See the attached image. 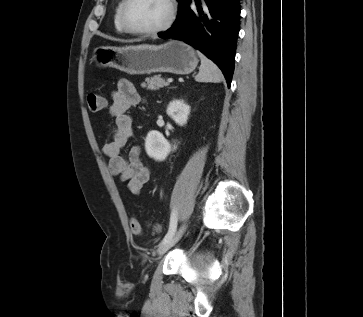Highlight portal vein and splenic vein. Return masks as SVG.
Instances as JSON below:
<instances>
[{"label":"portal vein and splenic vein","mask_w":363,"mask_h":317,"mask_svg":"<svg viewBox=\"0 0 363 317\" xmlns=\"http://www.w3.org/2000/svg\"><path fill=\"white\" fill-rule=\"evenodd\" d=\"M171 82H173V79L172 78H168L167 79V83H171Z\"/></svg>","instance_id":"portal-vein-and-splenic-vein-1"}]
</instances>
